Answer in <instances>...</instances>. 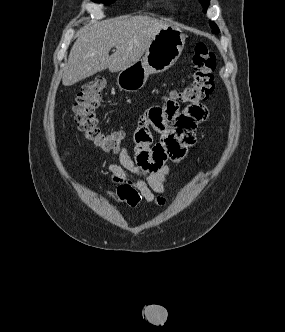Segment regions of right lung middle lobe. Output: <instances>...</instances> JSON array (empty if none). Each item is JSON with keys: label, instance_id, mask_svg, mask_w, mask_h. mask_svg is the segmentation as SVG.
<instances>
[{"label": "right lung middle lobe", "instance_id": "obj_1", "mask_svg": "<svg viewBox=\"0 0 285 332\" xmlns=\"http://www.w3.org/2000/svg\"><path fill=\"white\" fill-rule=\"evenodd\" d=\"M94 2H102V3H106V4H111L112 2H114L115 0H92Z\"/></svg>", "mask_w": 285, "mask_h": 332}]
</instances>
